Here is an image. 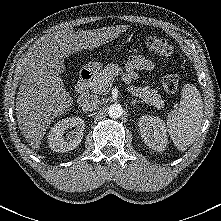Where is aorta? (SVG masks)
<instances>
[{
    "label": "aorta",
    "mask_w": 221,
    "mask_h": 221,
    "mask_svg": "<svg viewBox=\"0 0 221 221\" xmlns=\"http://www.w3.org/2000/svg\"><path fill=\"white\" fill-rule=\"evenodd\" d=\"M108 114L113 119H118L123 114V108L120 104H112L108 108Z\"/></svg>",
    "instance_id": "obj_1"
}]
</instances>
